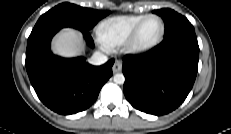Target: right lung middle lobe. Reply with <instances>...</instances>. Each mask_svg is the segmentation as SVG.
<instances>
[{
	"label": "right lung middle lobe",
	"instance_id": "obj_1",
	"mask_svg": "<svg viewBox=\"0 0 231 134\" xmlns=\"http://www.w3.org/2000/svg\"><path fill=\"white\" fill-rule=\"evenodd\" d=\"M108 14H110V11H98L66 2L43 14L35 27L45 23H67L74 28L88 31Z\"/></svg>",
	"mask_w": 231,
	"mask_h": 134
}]
</instances>
